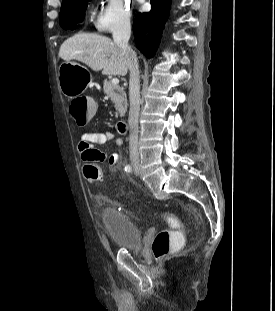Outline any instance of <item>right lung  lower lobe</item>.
<instances>
[{
    "label": "right lung lower lobe",
    "instance_id": "98d812e1",
    "mask_svg": "<svg viewBox=\"0 0 275 311\" xmlns=\"http://www.w3.org/2000/svg\"><path fill=\"white\" fill-rule=\"evenodd\" d=\"M151 11L138 14L133 23V33L138 49L147 58L154 56L167 20L170 0H151Z\"/></svg>",
    "mask_w": 275,
    "mask_h": 311
}]
</instances>
